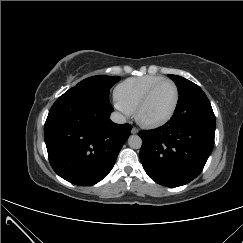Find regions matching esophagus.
Here are the masks:
<instances>
[{
    "label": "esophagus",
    "instance_id": "obj_1",
    "mask_svg": "<svg viewBox=\"0 0 243 243\" xmlns=\"http://www.w3.org/2000/svg\"><path fill=\"white\" fill-rule=\"evenodd\" d=\"M131 133H132V134H137V133H138V129L135 128V127H133V128L131 129Z\"/></svg>",
    "mask_w": 243,
    "mask_h": 243
}]
</instances>
